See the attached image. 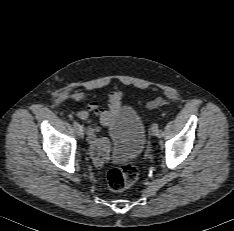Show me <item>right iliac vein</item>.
Wrapping results in <instances>:
<instances>
[{"mask_svg": "<svg viewBox=\"0 0 234 231\" xmlns=\"http://www.w3.org/2000/svg\"><path fill=\"white\" fill-rule=\"evenodd\" d=\"M78 136L79 138H83L84 137V130L83 127H80L79 131H78Z\"/></svg>", "mask_w": 234, "mask_h": 231, "instance_id": "1", "label": "right iliac vein"}]
</instances>
